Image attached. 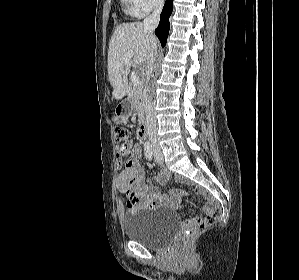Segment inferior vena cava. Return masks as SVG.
Wrapping results in <instances>:
<instances>
[{
	"mask_svg": "<svg viewBox=\"0 0 299 280\" xmlns=\"http://www.w3.org/2000/svg\"><path fill=\"white\" fill-rule=\"evenodd\" d=\"M164 0H155L154 10L150 16L144 19L143 28L149 36L150 52L148 56V71L147 81L150 79L154 69V63L157 55V44L155 42L154 30L158 26L161 11L163 9ZM145 113L147 120V133L149 140L156 143L157 138V124L155 119L154 105L148 97L145 99Z\"/></svg>",
	"mask_w": 299,
	"mask_h": 280,
	"instance_id": "602c4592",
	"label": "inferior vena cava"
}]
</instances>
